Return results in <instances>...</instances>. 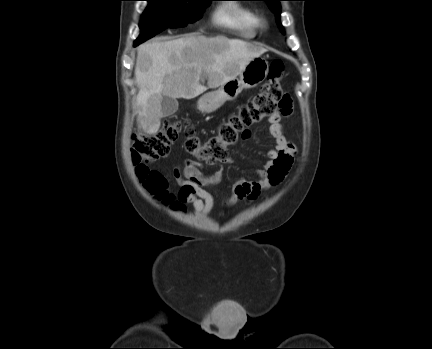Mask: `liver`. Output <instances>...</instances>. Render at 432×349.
Listing matches in <instances>:
<instances>
[{"mask_svg": "<svg viewBox=\"0 0 432 349\" xmlns=\"http://www.w3.org/2000/svg\"><path fill=\"white\" fill-rule=\"evenodd\" d=\"M266 51L259 45L223 35L191 34L140 45L135 66L139 127L148 134L159 130L163 96L192 99L235 79L252 59ZM205 75L207 87L200 83Z\"/></svg>", "mask_w": 432, "mask_h": 349, "instance_id": "1", "label": "liver"}]
</instances>
